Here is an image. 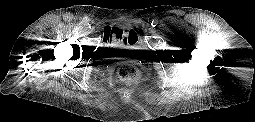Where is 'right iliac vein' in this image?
<instances>
[{"label": "right iliac vein", "instance_id": "1", "mask_svg": "<svg viewBox=\"0 0 255 122\" xmlns=\"http://www.w3.org/2000/svg\"><path fill=\"white\" fill-rule=\"evenodd\" d=\"M94 28L93 27H91L90 29H89V31L91 32V33H93L94 32Z\"/></svg>", "mask_w": 255, "mask_h": 122}]
</instances>
